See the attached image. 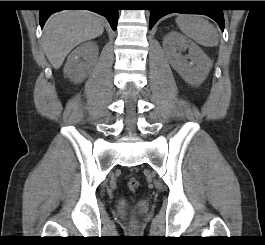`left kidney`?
Here are the masks:
<instances>
[{
    "label": "left kidney",
    "instance_id": "left-kidney-1",
    "mask_svg": "<svg viewBox=\"0 0 265 245\" xmlns=\"http://www.w3.org/2000/svg\"><path fill=\"white\" fill-rule=\"evenodd\" d=\"M163 48L171 66L185 82L192 86L202 84L212 68V61L199 46L178 32L171 31L164 37ZM186 49L189 51L187 56L178 52Z\"/></svg>",
    "mask_w": 265,
    "mask_h": 245
}]
</instances>
